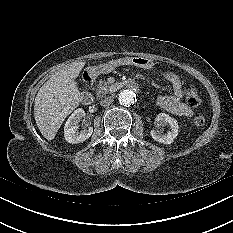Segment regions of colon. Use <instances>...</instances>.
<instances>
[{
    "instance_id": "colon-1",
    "label": "colon",
    "mask_w": 233,
    "mask_h": 233,
    "mask_svg": "<svg viewBox=\"0 0 233 233\" xmlns=\"http://www.w3.org/2000/svg\"><path fill=\"white\" fill-rule=\"evenodd\" d=\"M184 96L187 104L190 107L196 108L201 103V97L197 88L193 85H188L184 90ZM193 124L197 127H201L205 124V116L201 112L195 113L193 117Z\"/></svg>"
}]
</instances>
